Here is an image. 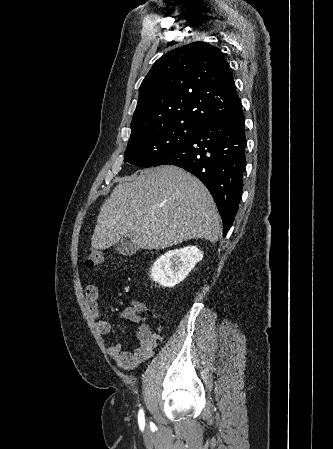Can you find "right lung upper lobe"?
Returning <instances> with one entry per match:
<instances>
[{"mask_svg": "<svg viewBox=\"0 0 333 449\" xmlns=\"http://www.w3.org/2000/svg\"><path fill=\"white\" fill-rule=\"evenodd\" d=\"M239 101L222 52L190 43L159 58L143 80L130 138L173 122L203 124Z\"/></svg>", "mask_w": 333, "mask_h": 449, "instance_id": "right-lung-upper-lobe-1", "label": "right lung upper lobe"}]
</instances>
